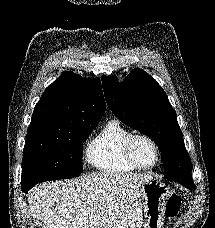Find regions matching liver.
<instances>
[{
    "mask_svg": "<svg viewBox=\"0 0 215 228\" xmlns=\"http://www.w3.org/2000/svg\"><path fill=\"white\" fill-rule=\"evenodd\" d=\"M147 174L98 172L37 184L27 194L32 216L46 228H141V186Z\"/></svg>",
    "mask_w": 215,
    "mask_h": 228,
    "instance_id": "6515ba94",
    "label": "liver"
}]
</instances>
